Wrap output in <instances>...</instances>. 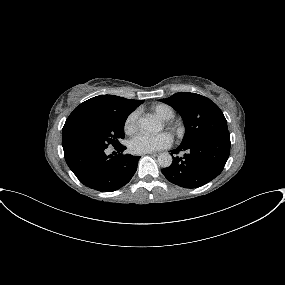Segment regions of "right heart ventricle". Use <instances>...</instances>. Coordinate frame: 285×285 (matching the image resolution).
<instances>
[{
  "label": "right heart ventricle",
  "mask_w": 285,
  "mask_h": 285,
  "mask_svg": "<svg viewBox=\"0 0 285 285\" xmlns=\"http://www.w3.org/2000/svg\"><path fill=\"white\" fill-rule=\"evenodd\" d=\"M151 111L161 120H170L175 116L174 109L163 103L154 104L151 106Z\"/></svg>",
  "instance_id": "1"
}]
</instances>
